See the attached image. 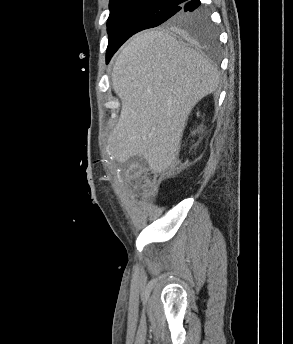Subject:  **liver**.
<instances>
[{"mask_svg":"<svg viewBox=\"0 0 293 344\" xmlns=\"http://www.w3.org/2000/svg\"><path fill=\"white\" fill-rule=\"evenodd\" d=\"M111 78L122 108L107 148L120 163L143 157L154 173L177 159L189 114L219 85L217 69L203 55L158 30L125 45Z\"/></svg>","mask_w":293,"mask_h":344,"instance_id":"6515ba94","label":"liver"}]
</instances>
